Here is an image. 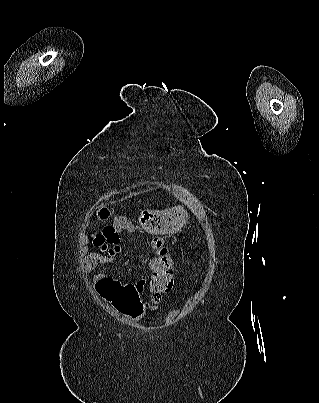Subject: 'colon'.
I'll return each instance as SVG.
<instances>
[{"label":"colon","instance_id":"5ec220e1","mask_svg":"<svg viewBox=\"0 0 319 403\" xmlns=\"http://www.w3.org/2000/svg\"><path fill=\"white\" fill-rule=\"evenodd\" d=\"M101 221L108 217V209L101 208L97 212ZM164 242L163 234H152L151 243L148 246L150 270L149 281L146 283V290L152 291L155 300H167L171 287L176 286L174 278V259H168V252H159Z\"/></svg>","mask_w":319,"mask_h":403}]
</instances>
